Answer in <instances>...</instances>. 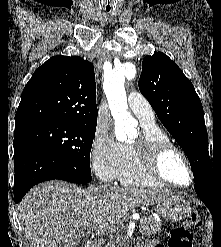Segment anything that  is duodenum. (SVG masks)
Segmentation results:
<instances>
[{"label":"duodenum","instance_id":"410a0bca","mask_svg":"<svg viewBox=\"0 0 221 247\" xmlns=\"http://www.w3.org/2000/svg\"><path fill=\"white\" fill-rule=\"evenodd\" d=\"M86 247H97V245L95 242L90 241L86 244Z\"/></svg>","mask_w":221,"mask_h":247}]
</instances>
